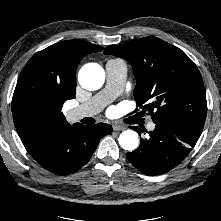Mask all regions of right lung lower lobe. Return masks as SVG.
Here are the masks:
<instances>
[{"label":"right lung lower lobe","instance_id":"1","mask_svg":"<svg viewBox=\"0 0 221 221\" xmlns=\"http://www.w3.org/2000/svg\"><path fill=\"white\" fill-rule=\"evenodd\" d=\"M112 132L108 124H75L53 138L44 137L27 151L46 170L68 175L77 172L91 158L100 139Z\"/></svg>","mask_w":221,"mask_h":221}]
</instances>
